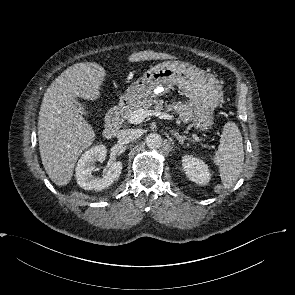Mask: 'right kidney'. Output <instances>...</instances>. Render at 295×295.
Returning <instances> with one entry per match:
<instances>
[{"label": "right kidney", "mask_w": 295, "mask_h": 295, "mask_svg": "<svg viewBox=\"0 0 295 295\" xmlns=\"http://www.w3.org/2000/svg\"><path fill=\"white\" fill-rule=\"evenodd\" d=\"M107 149L104 145H97L87 150L79 159L76 167V179L78 185L85 190L100 191L109 187L118 180L122 163L120 161L109 165L101 178L92 175L96 161H104Z\"/></svg>", "instance_id": "1"}]
</instances>
